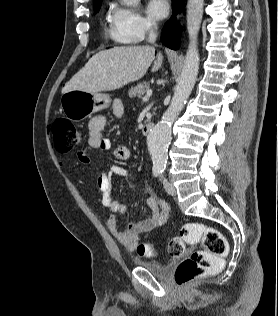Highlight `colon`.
Listing matches in <instances>:
<instances>
[{
	"mask_svg": "<svg viewBox=\"0 0 278 316\" xmlns=\"http://www.w3.org/2000/svg\"><path fill=\"white\" fill-rule=\"evenodd\" d=\"M52 134L54 146L60 153L71 151L85 141L84 132L63 118L53 122ZM187 243H200L202 249L192 252L178 264L175 281L179 287H186L197 278L220 271L228 253L227 241L220 231L202 223L185 224L180 235L169 241V254L181 257ZM137 251L145 256L156 254L155 249L147 244L139 245Z\"/></svg>",
	"mask_w": 278,
	"mask_h": 316,
	"instance_id": "1",
	"label": "colon"
}]
</instances>
